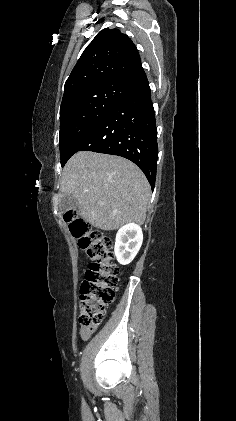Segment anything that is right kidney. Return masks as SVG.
Returning <instances> with one entry per match:
<instances>
[{"label": "right kidney", "instance_id": "right-kidney-1", "mask_svg": "<svg viewBox=\"0 0 236 421\" xmlns=\"http://www.w3.org/2000/svg\"><path fill=\"white\" fill-rule=\"evenodd\" d=\"M143 241V233L139 225L129 223L121 227L116 235L114 247L115 257L120 265H129L136 257Z\"/></svg>", "mask_w": 236, "mask_h": 421}]
</instances>
